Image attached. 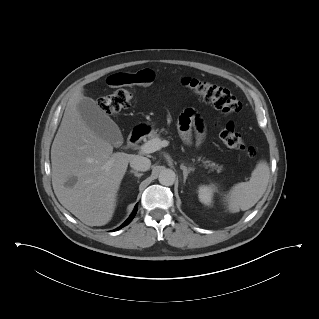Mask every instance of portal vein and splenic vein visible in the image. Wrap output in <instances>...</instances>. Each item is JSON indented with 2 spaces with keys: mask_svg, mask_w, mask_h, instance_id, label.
Here are the masks:
<instances>
[{
  "mask_svg": "<svg viewBox=\"0 0 319 319\" xmlns=\"http://www.w3.org/2000/svg\"><path fill=\"white\" fill-rule=\"evenodd\" d=\"M169 142L167 140H161L159 138L147 141L141 146V152L145 154L153 153L160 150L162 147L168 146Z\"/></svg>",
  "mask_w": 319,
  "mask_h": 319,
  "instance_id": "18ae733b",
  "label": "portal vein and splenic vein"
}]
</instances>
